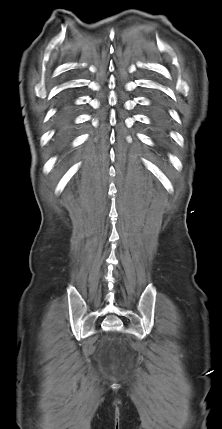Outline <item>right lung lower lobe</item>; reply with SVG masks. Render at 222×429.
I'll use <instances>...</instances> for the list:
<instances>
[{"label":"right lung lower lobe","mask_w":222,"mask_h":429,"mask_svg":"<svg viewBox=\"0 0 222 429\" xmlns=\"http://www.w3.org/2000/svg\"><path fill=\"white\" fill-rule=\"evenodd\" d=\"M73 119V108L69 103L67 97L62 96L58 100V113H57V124L62 130H68L70 128Z\"/></svg>","instance_id":"98d812e1"}]
</instances>
